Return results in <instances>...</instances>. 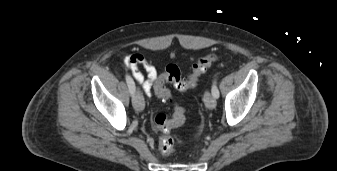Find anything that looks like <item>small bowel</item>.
Instances as JSON below:
<instances>
[{
  "mask_svg": "<svg viewBox=\"0 0 337 171\" xmlns=\"http://www.w3.org/2000/svg\"><path fill=\"white\" fill-rule=\"evenodd\" d=\"M123 63L132 71L135 80L141 85L144 93L150 97L154 85L160 77L156 68L139 53L128 55L124 58Z\"/></svg>",
  "mask_w": 337,
  "mask_h": 171,
  "instance_id": "1",
  "label": "small bowel"
}]
</instances>
